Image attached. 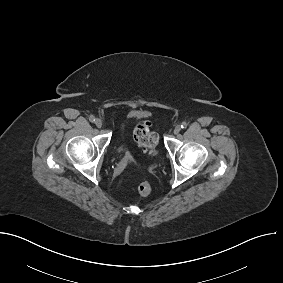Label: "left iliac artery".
I'll return each mask as SVG.
<instances>
[{"instance_id":"left-iliac-artery-1","label":"left iliac artery","mask_w":283,"mask_h":283,"mask_svg":"<svg viewBox=\"0 0 283 283\" xmlns=\"http://www.w3.org/2000/svg\"><path fill=\"white\" fill-rule=\"evenodd\" d=\"M181 128H182V129L187 128V123H186V122H182V124H181Z\"/></svg>"}]
</instances>
